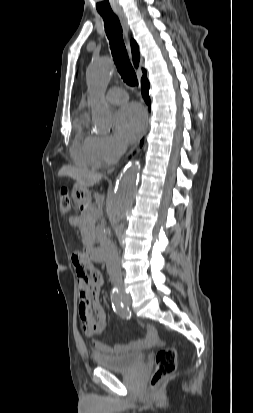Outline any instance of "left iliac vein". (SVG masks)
<instances>
[{
	"instance_id": "left-iliac-vein-1",
	"label": "left iliac vein",
	"mask_w": 253,
	"mask_h": 413,
	"mask_svg": "<svg viewBox=\"0 0 253 413\" xmlns=\"http://www.w3.org/2000/svg\"><path fill=\"white\" fill-rule=\"evenodd\" d=\"M123 301H124V303H125L126 305H129V304H130V298H129L128 296H126V295L123 296Z\"/></svg>"
}]
</instances>
